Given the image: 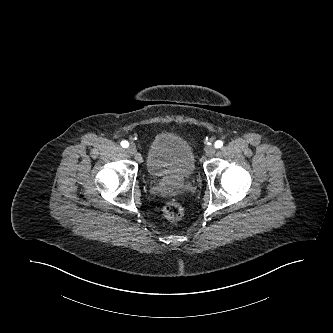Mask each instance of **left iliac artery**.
<instances>
[{"mask_svg":"<svg viewBox=\"0 0 333 333\" xmlns=\"http://www.w3.org/2000/svg\"><path fill=\"white\" fill-rule=\"evenodd\" d=\"M215 148H221L223 146V142L221 140H217L214 144Z\"/></svg>","mask_w":333,"mask_h":333,"instance_id":"left-iliac-artery-1","label":"left iliac artery"}]
</instances>
